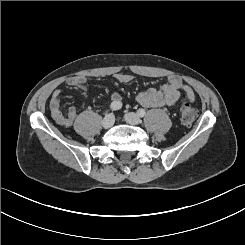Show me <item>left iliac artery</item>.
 <instances>
[{
	"label": "left iliac artery",
	"mask_w": 245,
	"mask_h": 245,
	"mask_svg": "<svg viewBox=\"0 0 245 245\" xmlns=\"http://www.w3.org/2000/svg\"><path fill=\"white\" fill-rule=\"evenodd\" d=\"M137 114L140 117H144L146 115V111L144 109L140 108V109L137 110Z\"/></svg>",
	"instance_id": "1"
}]
</instances>
